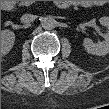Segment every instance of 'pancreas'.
I'll use <instances>...</instances> for the list:
<instances>
[{
  "label": "pancreas",
  "instance_id": "pancreas-1",
  "mask_svg": "<svg viewBox=\"0 0 109 109\" xmlns=\"http://www.w3.org/2000/svg\"><path fill=\"white\" fill-rule=\"evenodd\" d=\"M20 4L21 5H30V4H32V2H21Z\"/></svg>",
  "mask_w": 109,
  "mask_h": 109
}]
</instances>
